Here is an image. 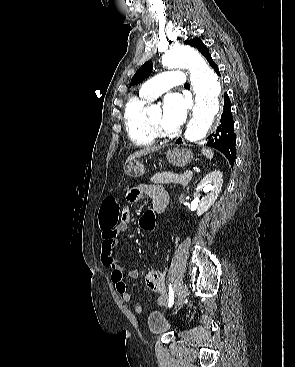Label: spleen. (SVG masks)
<instances>
[{
	"label": "spleen",
	"mask_w": 295,
	"mask_h": 367,
	"mask_svg": "<svg viewBox=\"0 0 295 367\" xmlns=\"http://www.w3.org/2000/svg\"><path fill=\"white\" fill-rule=\"evenodd\" d=\"M201 153L207 158V159H212L213 158V156H214V152L211 150V149H209V148H205V147H203L202 149H201Z\"/></svg>",
	"instance_id": "3e777b00"
}]
</instances>
